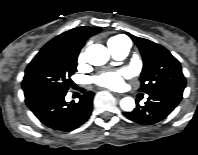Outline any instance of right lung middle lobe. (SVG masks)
Instances as JSON below:
<instances>
[{
  "label": "right lung middle lobe",
  "instance_id": "right-lung-middle-lobe-1",
  "mask_svg": "<svg viewBox=\"0 0 198 155\" xmlns=\"http://www.w3.org/2000/svg\"><path fill=\"white\" fill-rule=\"evenodd\" d=\"M80 48L76 46L43 47L25 70L24 91L39 88L68 90L76 71Z\"/></svg>",
  "mask_w": 198,
  "mask_h": 155
}]
</instances>
